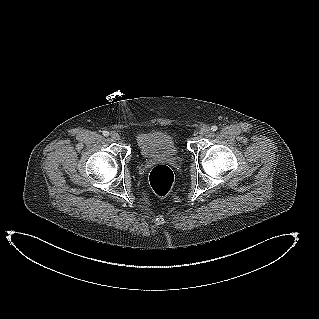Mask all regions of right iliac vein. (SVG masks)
Masks as SVG:
<instances>
[{
  "label": "right iliac vein",
  "instance_id": "obj_1",
  "mask_svg": "<svg viewBox=\"0 0 319 319\" xmlns=\"http://www.w3.org/2000/svg\"><path fill=\"white\" fill-rule=\"evenodd\" d=\"M110 136H111V138L113 140H119L120 139V135L117 132H114V131L111 132Z\"/></svg>",
  "mask_w": 319,
  "mask_h": 319
}]
</instances>
